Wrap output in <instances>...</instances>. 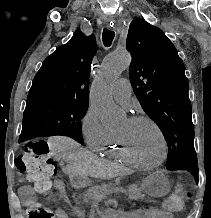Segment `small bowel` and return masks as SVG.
Listing matches in <instances>:
<instances>
[{
    "label": "small bowel",
    "mask_w": 211,
    "mask_h": 218,
    "mask_svg": "<svg viewBox=\"0 0 211 218\" xmlns=\"http://www.w3.org/2000/svg\"><path fill=\"white\" fill-rule=\"evenodd\" d=\"M53 188L56 191L58 197H60L63 200L67 199L65 185L61 180H55L53 183ZM19 194L21 198L28 204L32 203L35 199L34 190L29 186L22 187L19 190ZM79 215V210L68 212L64 209L59 208L55 211L56 218H74ZM138 218H173V215L171 214V212L167 210L150 207L147 209L138 210Z\"/></svg>",
    "instance_id": "small-bowel-1"
}]
</instances>
